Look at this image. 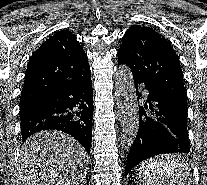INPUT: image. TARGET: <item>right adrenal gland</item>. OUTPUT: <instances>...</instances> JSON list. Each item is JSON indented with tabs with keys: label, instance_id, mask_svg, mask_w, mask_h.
<instances>
[{
	"label": "right adrenal gland",
	"instance_id": "right-adrenal-gland-1",
	"mask_svg": "<svg viewBox=\"0 0 207 185\" xmlns=\"http://www.w3.org/2000/svg\"><path fill=\"white\" fill-rule=\"evenodd\" d=\"M81 185H87V179H84V181H82Z\"/></svg>",
	"mask_w": 207,
	"mask_h": 185
}]
</instances>
